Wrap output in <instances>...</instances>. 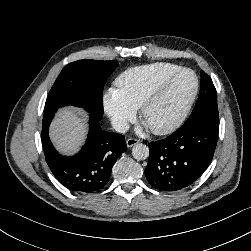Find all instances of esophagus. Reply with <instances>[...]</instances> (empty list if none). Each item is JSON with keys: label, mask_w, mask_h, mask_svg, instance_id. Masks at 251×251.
I'll list each match as a JSON object with an SVG mask.
<instances>
[{"label": "esophagus", "mask_w": 251, "mask_h": 251, "mask_svg": "<svg viewBox=\"0 0 251 251\" xmlns=\"http://www.w3.org/2000/svg\"><path fill=\"white\" fill-rule=\"evenodd\" d=\"M138 142H139L138 139L129 138V139H127V141H126V144H127V147H132V146H134L135 144H137Z\"/></svg>", "instance_id": "esophagus-1"}]
</instances>
